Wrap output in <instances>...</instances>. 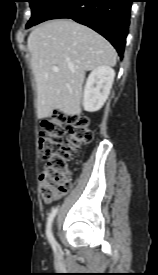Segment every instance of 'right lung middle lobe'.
<instances>
[{
	"mask_svg": "<svg viewBox=\"0 0 158 275\" xmlns=\"http://www.w3.org/2000/svg\"><path fill=\"white\" fill-rule=\"evenodd\" d=\"M55 1L56 0H29L32 16L28 21L26 28H30L31 26L36 25L44 13Z\"/></svg>",
	"mask_w": 158,
	"mask_h": 275,
	"instance_id": "obj_1",
	"label": "right lung middle lobe"
}]
</instances>
